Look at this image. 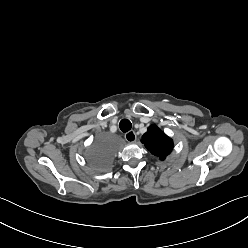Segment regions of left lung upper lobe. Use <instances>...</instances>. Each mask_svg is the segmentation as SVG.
Masks as SVG:
<instances>
[{
	"instance_id": "5c2ea615",
	"label": "left lung upper lobe",
	"mask_w": 248,
	"mask_h": 248,
	"mask_svg": "<svg viewBox=\"0 0 248 248\" xmlns=\"http://www.w3.org/2000/svg\"><path fill=\"white\" fill-rule=\"evenodd\" d=\"M141 142L154 155L164 160L173 149V140L156 125H151L143 135Z\"/></svg>"
}]
</instances>
